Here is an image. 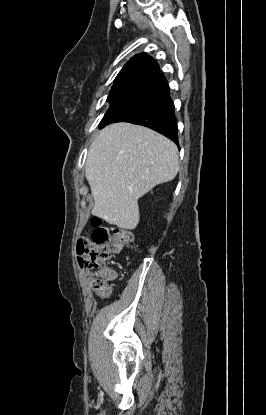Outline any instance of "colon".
I'll return each mask as SVG.
<instances>
[{"label":"colon","instance_id":"obj_1","mask_svg":"<svg viewBox=\"0 0 266 415\" xmlns=\"http://www.w3.org/2000/svg\"><path fill=\"white\" fill-rule=\"evenodd\" d=\"M91 223L94 228L91 238H81L77 242L78 262L83 276L95 293L107 297L110 294L108 280L111 277L106 263L132 241L133 235L118 227H113L110 232L99 218H93Z\"/></svg>","mask_w":266,"mask_h":415}]
</instances>
